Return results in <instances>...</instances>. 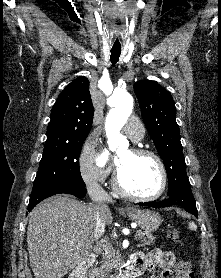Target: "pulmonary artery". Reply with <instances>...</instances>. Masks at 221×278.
<instances>
[{"instance_id":"obj_1","label":"pulmonary artery","mask_w":221,"mask_h":278,"mask_svg":"<svg viewBox=\"0 0 221 278\" xmlns=\"http://www.w3.org/2000/svg\"><path fill=\"white\" fill-rule=\"evenodd\" d=\"M124 132L130 139L138 142L144 137L145 129L142 123L131 119L124 125Z\"/></svg>"}]
</instances>
